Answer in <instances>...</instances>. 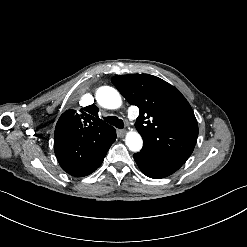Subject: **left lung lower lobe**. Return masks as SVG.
Masks as SVG:
<instances>
[{
    "mask_svg": "<svg viewBox=\"0 0 247 247\" xmlns=\"http://www.w3.org/2000/svg\"><path fill=\"white\" fill-rule=\"evenodd\" d=\"M140 170L148 177L160 179L167 177L177 171L184 163L157 152L144 145L143 149L134 154Z\"/></svg>",
    "mask_w": 247,
    "mask_h": 247,
    "instance_id": "left-lung-lower-lobe-1",
    "label": "left lung lower lobe"
}]
</instances>
